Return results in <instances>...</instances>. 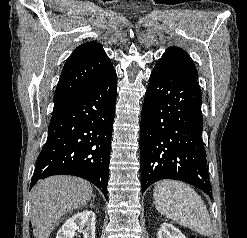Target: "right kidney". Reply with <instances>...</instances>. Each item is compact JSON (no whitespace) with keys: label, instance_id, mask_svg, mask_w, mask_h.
Returning <instances> with one entry per match:
<instances>
[{"label":"right kidney","instance_id":"ca27d5eb","mask_svg":"<svg viewBox=\"0 0 247 238\" xmlns=\"http://www.w3.org/2000/svg\"><path fill=\"white\" fill-rule=\"evenodd\" d=\"M95 213L85 210L78 212L67 219L63 226L59 229L56 238H73L76 231L83 230L84 238H95Z\"/></svg>","mask_w":247,"mask_h":238}]
</instances>
